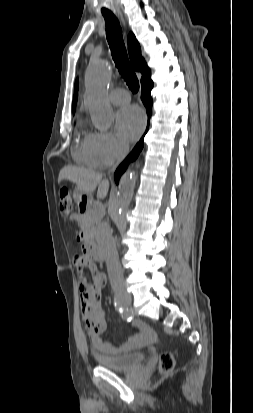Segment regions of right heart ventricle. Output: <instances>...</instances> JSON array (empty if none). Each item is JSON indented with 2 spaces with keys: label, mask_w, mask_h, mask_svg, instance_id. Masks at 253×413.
Returning <instances> with one entry per match:
<instances>
[{
  "label": "right heart ventricle",
  "mask_w": 253,
  "mask_h": 413,
  "mask_svg": "<svg viewBox=\"0 0 253 413\" xmlns=\"http://www.w3.org/2000/svg\"><path fill=\"white\" fill-rule=\"evenodd\" d=\"M89 139L90 134L79 133L77 145L73 150V156L78 163L91 168H97L100 166V163L91 147Z\"/></svg>",
  "instance_id": "e07e8e85"
}]
</instances>
